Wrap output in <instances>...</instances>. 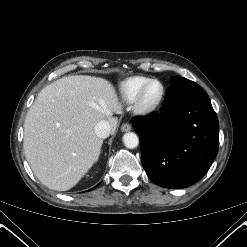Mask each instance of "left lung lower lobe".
Segmentation results:
<instances>
[{"label":"left lung lower lobe","mask_w":247,"mask_h":247,"mask_svg":"<svg viewBox=\"0 0 247 247\" xmlns=\"http://www.w3.org/2000/svg\"><path fill=\"white\" fill-rule=\"evenodd\" d=\"M133 128L139 133L143 167L162 187L196 183L218 152V119L207 93L196 83L172 86L161 112L135 118Z\"/></svg>","instance_id":"left-lung-lower-lobe-1"}]
</instances>
